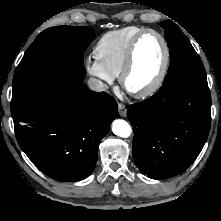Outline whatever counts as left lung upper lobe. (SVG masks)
I'll use <instances>...</instances> for the list:
<instances>
[{"instance_id": "left-lung-upper-lobe-1", "label": "left lung upper lobe", "mask_w": 221, "mask_h": 221, "mask_svg": "<svg viewBox=\"0 0 221 221\" xmlns=\"http://www.w3.org/2000/svg\"><path fill=\"white\" fill-rule=\"evenodd\" d=\"M160 26L165 29L171 60L163 84L178 79L207 83L201 59L180 28L170 20L161 22Z\"/></svg>"}]
</instances>
